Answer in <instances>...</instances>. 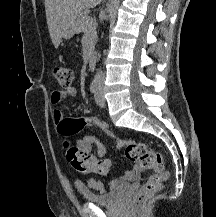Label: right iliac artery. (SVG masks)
<instances>
[{
  "mask_svg": "<svg viewBox=\"0 0 216 217\" xmlns=\"http://www.w3.org/2000/svg\"><path fill=\"white\" fill-rule=\"evenodd\" d=\"M97 89H98V80L95 78V79H93V81L90 85V91H91V93H96Z\"/></svg>",
  "mask_w": 216,
  "mask_h": 217,
  "instance_id": "obj_1",
  "label": "right iliac artery"
}]
</instances>
